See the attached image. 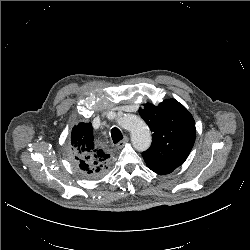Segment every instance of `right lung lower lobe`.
<instances>
[{
  "instance_id": "98d812e1",
  "label": "right lung lower lobe",
  "mask_w": 250,
  "mask_h": 250,
  "mask_svg": "<svg viewBox=\"0 0 250 250\" xmlns=\"http://www.w3.org/2000/svg\"><path fill=\"white\" fill-rule=\"evenodd\" d=\"M77 171L86 179H98L104 176L107 172L108 167L102 169H82L76 163H74Z\"/></svg>"
}]
</instances>
